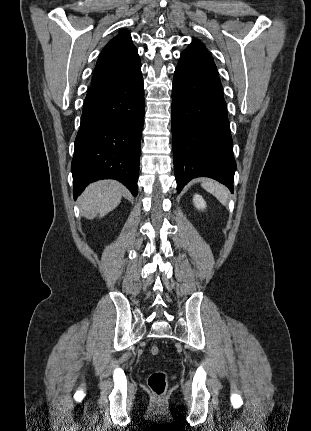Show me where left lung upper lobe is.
<instances>
[{
	"mask_svg": "<svg viewBox=\"0 0 311 431\" xmlns=\"http://www.w3.org/2000/svg\"><path fill=\"white\" fill-rule=\"evenodd\" d=\"M187 49H195V50H201V51H207V49L204 47V45L198 41L197 39H195V41H193Z\"/></svg>",
	"mask_w": 311,
	"mask_h": 431,
	"instance_id": "1",
	"label": "left lung upper lobe"
}]
</instances>
